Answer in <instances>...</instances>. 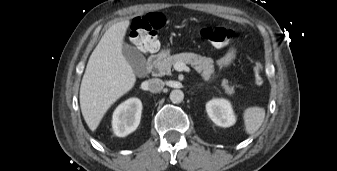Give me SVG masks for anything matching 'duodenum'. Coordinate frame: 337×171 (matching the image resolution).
<instances>
[{
  "label": "duodenum",
  "instance_id": "410a0bca",
  "mask_svg": "<svg viewBox=\"0 0 337 171\" xmlns=\"http://www.w3.org/2000/svg\"><path fill=\"white\" fill-rule=\"evenodd\" d=\"M159 58H160L159 54H151L148 57V62H147V66L145 69V73H149L151 71L152 67L159 60Z\"/></svg>",
  "mask_w": 337,
  "mask_h": 171
}]
</instances>
